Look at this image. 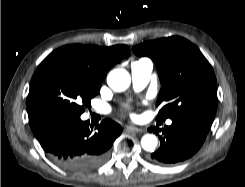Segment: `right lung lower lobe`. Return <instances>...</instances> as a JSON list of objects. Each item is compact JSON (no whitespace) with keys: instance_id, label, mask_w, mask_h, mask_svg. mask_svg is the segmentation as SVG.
<instances>
[{"instance_id":"98d812e1","label":"right lung lower lobe","mask_w":245,"mask_h":187,"mask_svg":"<svg viewBox=\"0 0 245 187\" xmlns=\"http://www.w3.org/2000/svg\"><path fill=\"white\" fill-rule=\"evenodd\" d=\"M46 154L62 168L87 172L101 166L108 150L121 134V126L112 120L89 125L77 115H55L31 126Z\"/></svg>"}]
</instances>
